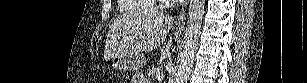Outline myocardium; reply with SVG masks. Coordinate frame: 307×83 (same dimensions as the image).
I'll list each match as a JSON object with an SVG mask.
<instances>
[{
  "instance_id": "f54148a6",
  "label": "myocardium",
  "mask_w": 307,
  "mask_h": 83,
  "mask_svg": "<svg viewBox=\"0 0 307 83\" xmlns=\"http://www.w3.org/2000/svg\"><path fill=\"white\" fill-rule=\"evenodd\" d=\"M159 8L161 10H166V9L170 8V5L167 1H161V3L159 4Z\"/></svg>"
}]
</instances>
